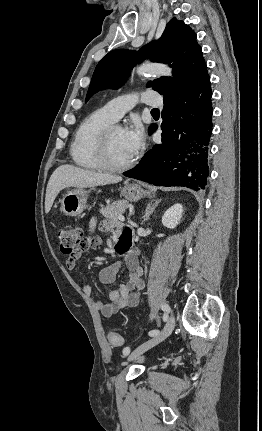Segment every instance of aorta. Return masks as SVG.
<instances>
[{"label":"aorta","mask_w":262,"mask_h":431,"mask_svg":"<svg viewBox=\"0 0 262 431\" xmlns=\"http://www.w3.org/2000/svg\"><path fill=\"white\" fill-rule=\"evenodd\" d=\"M140 76H171L172 69L164 64L144 63L137 68Z\"/></svg>","instance_id":"obj_1"}]
</instances>
